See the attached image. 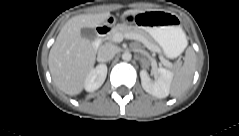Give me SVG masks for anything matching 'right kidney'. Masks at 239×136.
<instances>
[{"label":"right kidney","instance_id":"obj_1","mask_svg":"<svg viewBox=\"0 0 239 136\" xmlns=\"http://www.w3.org/2000/svg\"><path fill=\"white\" fill-rule=\"evenodd\" d=\"M107 76V66L100 64L96 68L92 69L87 75L84 88L87 92H94L99 89L104 83Z\"/></svg>","mask_w":239,"mask_h":136}]
</instances>
